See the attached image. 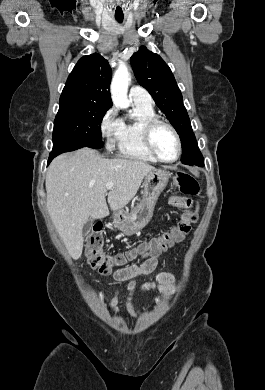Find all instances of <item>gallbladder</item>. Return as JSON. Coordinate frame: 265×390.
<instances>
[{
  "label": "gallbladder",
  "instance_id": "1",
  "mask_svg": "<svg viewBox=\"0 0 265 390\" xmlns=\"http://www.w3.org/2000/svg\"><path fill=\"white\" fill-rule=\"evenodd\" d=\"M92 225H93V218L89 217L83 226V230H82L83 235L89 234V232L91 231Z\"/></svg>",
  "mask_w": 265,
  "mask_h": 390
}]
</instances>
